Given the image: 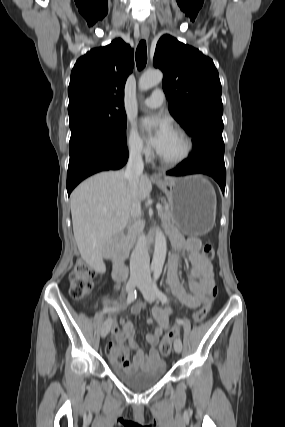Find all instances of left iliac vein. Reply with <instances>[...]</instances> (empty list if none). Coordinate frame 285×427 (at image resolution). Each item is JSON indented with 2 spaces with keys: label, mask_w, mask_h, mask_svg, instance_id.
<instances>
[{
  "label": "left iliac vein",
  "mask_w": 285,
  "mask_h": 427,
  "mask_svg": "<svg viewBox=\"0 0 285 427\" xmlns=\"http://www.w3.org/2000/svg\"><path fill=\"white\" fill-rule=\"evenodd\" d=\"M139 289L141 290L144 298L148 302H153L156 299V290L154 287V284L151 280V277L149 275H145L144 278L141 280L140 284L138 285ZM174 349L177 353H180L182 351V341L181 339L177 338L174 341Z\"/></svg>",
  "instance_id": "obj_1"
}]
</instances>
